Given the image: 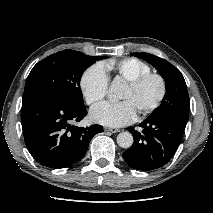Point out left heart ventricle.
<instances>
[{"label":"left heart ventricle","mask_w":213,"mask_h":213,"mask_svg":"<svg viewBox=\"0 0 213 213\" xmlns=\"http://www.w3.org/2000/svg\"><path fill=\"white\" fill-rule=\"evenodd\" d=\"M158 92V83L155 80H150L139 89H131L127 86L121 96V99L131 101L136 111L139 112L143 107L155 99Z\"/></svg>","instance_id":"b2bd125f"}]
</instances>
